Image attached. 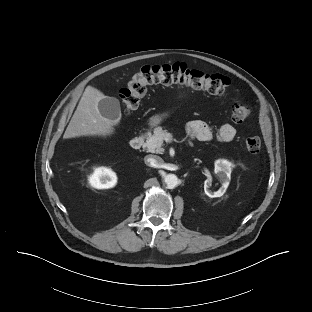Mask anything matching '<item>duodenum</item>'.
<instances>
[{"label": "duodenum", "mask_w": 312, "mask_h": 312, "mask_svg": "<svg viewBox=\"0 0 312 312\" xmlns=\"http://www.w3.org/2000/svg\"><path fill=\"white\" fill-rule=\"evenodd\" d=\"M144 140H145V138H144L143 134H138L136 136H133L130 139V146L133 149H140L144 144Z\"/></svg>", "instance_id": "410a0bca"}]
</instances>
